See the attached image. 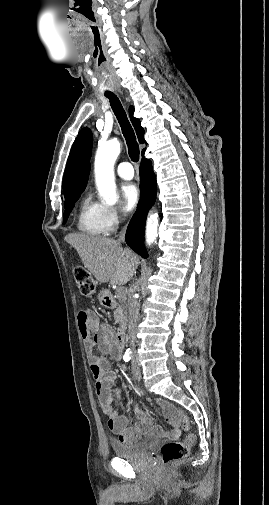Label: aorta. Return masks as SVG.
Instances as JSON below:
<instances>
[{
	"label": "aorta",
	"mask_w": 269,
	"mask_h": 505,
	"mask_svg": "<svg viewBox=\"0 0 269 505\" xmlns=\"http://www.w3.org/2000/svg\"><path fill=\"white\" fill-rule=\"evenodd\" d=\"M120 142L111 139L99 145L95 156V182L99 197L107 204L117 201L114 164L120 153ZM159 216L151 210L146 222V243L153 244L158 236Z\"/></svg>",
	"instance_id": "1"
}]
</instances>
